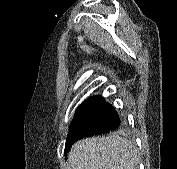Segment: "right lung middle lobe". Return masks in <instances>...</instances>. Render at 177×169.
Segmentation results:
<instances>
[{
    "label": "right lung middle lobe",
    "instance_id": "right-lung-middle-lobe-1",
    "mask_svg": "<svg viewBox=\"0 0 177 169\" xmlns=\"http://www.w3.org/2000/svg\"><path fill=\"white\" fill-rule=\"evenodd\" d=\"M87 104H88V101H87V102H84L82 105H80V106L78 107L77 111H76V115H77L80 111H82V109H83ZM76 115H75V116H76Z\"/></svg>",
    "mask_w": 177,
    "mask_h": 169
}]
</instances>
